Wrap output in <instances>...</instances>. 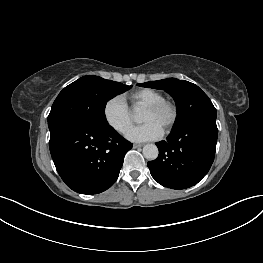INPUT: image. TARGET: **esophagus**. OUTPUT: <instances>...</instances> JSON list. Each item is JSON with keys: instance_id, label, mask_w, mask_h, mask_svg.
Instances as JSON below:
<instances>
[{"instance_id": "obj_1", "label": "esophagus", "mask_w": 263, "mask_h": 263, "mask_svg": "<svg viewBox=\"0 0 263 263\" xmlns=\"http://www.w3.org/2000/svg\"><path fill=\"white\" fill-rule=\"evenodd\" d=\"M142 146H143V144H138V143L133 144V148H140Z\"/></svg>"}]
</instances>
